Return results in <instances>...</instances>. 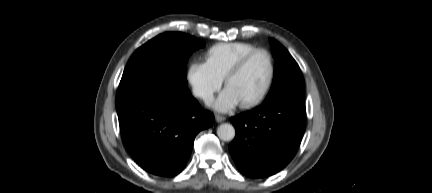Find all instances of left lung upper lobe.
<instances>
[{
  "label": "left lung upper lobe",
  "instance_id": "left-lung-upper-lobe-1",
  "mask_svg": "<svg viewBox=\"0 0 432 193\" xmlns=\"http://www.w3.org/2000/svg\"><path fill=\"white\" fill-rule=\"evenodd\" d=\"M270 43L275 58L274 78L263 103L279 100L304 104V80L298 64L278 41L270 38Z\"/></svg>",
  "mask_w": 432,
  "mask_h": 193
}]
</instances>
